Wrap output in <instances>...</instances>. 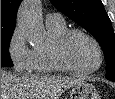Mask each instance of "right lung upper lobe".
I'll return each mask as SVG.
<instances>
[{"mask_svg":"<svg viewBox=\"0 0 115 99\" xmlns=\"http://www.w3.org/2000/svg\"><path fill=\"white\" fill-rule=\"evenodd\" d=\"M22 0H1V30H14L16 14Z\"/></svg>","mask_w":115,"mask_h":99,"instance_id":"cb5924a9","label":"right lung upper lobe"}]
</instances>
